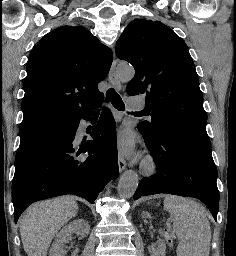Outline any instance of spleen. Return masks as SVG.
<instances>
[{
  "label": "spleen",
  "mask_w": 236,
  "mask_h": 256,
  "mask_svg": "<svg viewBox=\"0 0 236 256\" xmlns=\"http://www.w3.org/2000/svg\"><path fill=\"white\" fill-rule=\"evenodd\" d=\"M164 208L174 218L177 256H209L211 228L205 208L179 196H166Z\"/></svg>",
  "instance_id": "3e777b00"
}]
</instances>
